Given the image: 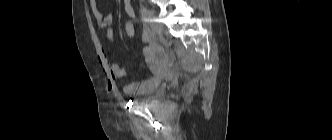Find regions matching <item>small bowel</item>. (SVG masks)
Listing matches in <instances>:
<instances>
[{
	"mask_svg": "<svg viewBox=\"0 0 332 140\" xmlns=\"http://www.w3.org/2000/svg\"><path fill=\"white\" fill-rule=\"evenodd\" d=\"M124 1V9L126 14L130 17L133 18L135 17V11L130 3V0H123ZM89 5L90 9L92 12L93 17L96 20V27L99 32L105 33L106 38L108 41L113 44L115 42V35L113 31V15L112 14H107L104 15L103 13L100 12L97 6V1L96 0H89ZM141 39L143 42H148L149 41V36L147 33H143L141 36ZM152 51L151 46H146L143 49V54L145 56L149 55ZM110 74L113 80H121L124 79L126 76L125 70L119 66L118 64H112L110 66ZM148 80L140 81V82H133L130 84H127L124 87V92L127 95H135V94H141L146 86H147Z\"/></svg>",
	"mask_w": 332,
	"mask_h": 140,
	"instance_id": "obj_1",
	"label": "small bowel"
}]
</instances>
